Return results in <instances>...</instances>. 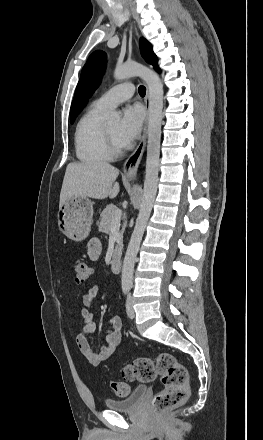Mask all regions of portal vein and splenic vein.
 Instances as JSON below:
<instances>
[{"instance_id":"1","label":"portal vein and splenic vein","mask_w":263,"mask_h":440,"mask_svg":"<svg viewBox=\"0 0 263 440\" xmlns=\"http://www.w3.org/2000/svg\"><path fill=\"white\" fill-rule=\"evenodd\" d=\"M121 216H122V212L117 211L115 214V219L111 224V229H115V228L119 227Z\"/></svg>"}]
</instances>
